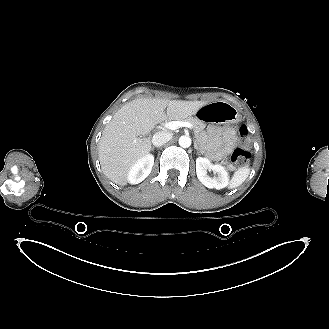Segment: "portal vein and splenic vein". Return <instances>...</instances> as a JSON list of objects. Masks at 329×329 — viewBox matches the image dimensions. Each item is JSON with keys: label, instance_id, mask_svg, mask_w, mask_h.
I'll return each mask as SVG.
<instances>
[{"label": "portal vein and splenic vein", "instance_id": "1", "mask_svg": "<svg viewBox=\"0 0 329 329\" xmlns=\"http://www.w3.org/2000/svg\"><path fill=\"white\" fill-rule=\"evenodd\" d=\"M165 127L169 130H176L180 127H187L189 129H193V125L190 122H183V121H171L167 123Z\"/></svg>", "mask_w": 329, "mask_h": 329}]
</instances>
